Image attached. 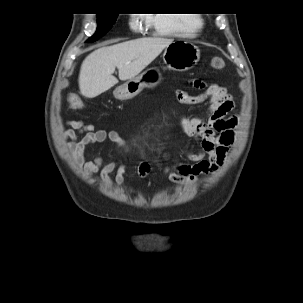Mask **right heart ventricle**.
I'll return each instance as SVG.
<instances>
[{
  "label": "right heart ventricle",
  "mask_w": 303,
  "mask_h": 303,
  "mask_svg": "<svg viewBox=\"0 0 303 303\" xmlns=\"http://www.w3.org/2000/svg\"><path fill=\"white\" fill-rule=\"evenodd\" d=\"M147 20L160 34H193L202 25L199 18L190 14H155Z\"/></svg>",
  "instance_id": "obj_1"
}]
</instances>
